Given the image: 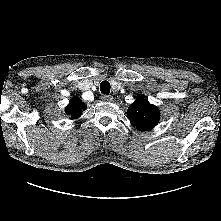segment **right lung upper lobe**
I'll return each mask as SVG.
<instances>
[{"label": "right lung upper lobe", "instance_id": "obj_1", "mask_svg": "<svg viewBox=\"0 0 221 221\" xmlns=\"http://www.w3.org/2000/svg\"><path fill=\"white\" fill-rule=\"evenodd\" d=\"M86 105L76 96L72 98L68 106L65 108V113L71 116V119H77L81 116Z\"/></svg>", "mask_w": 221, "mask_h": 221}]
</instances>
